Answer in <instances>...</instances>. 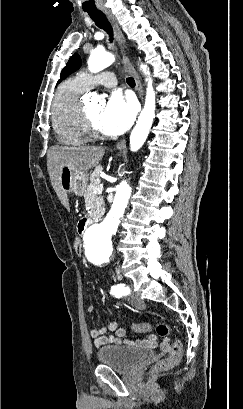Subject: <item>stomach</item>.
<instances>
[{
  "label": "stomach",
  "instance_id": "stomach-1",
  "mask_svg": "<svg viewBox=\"0 0 243 409\" xmlns=\"http://www.w3.org/2000/svg\"><path fill=\"white\" fill-rule=\"evenodd\" d=\"M88 181L87 172H72L68 165H63L60 172V186L65 193L83 196Z\"/></svg>",
  "mask_w": 243,
  "mask_h": 409
}]
</instances>
